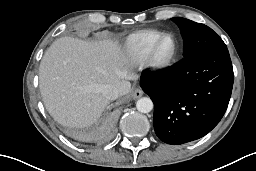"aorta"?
Segmentation results:
<instances>
[{"instance_id": "762f6f07", "label": "aorta", "mask_w": 256, "mask_h": 171, "mask_svg": "<svg viewBox=\"0 0 256 171\" xmlns=\"http://www.w3.org/2000/svg\"><path fill=\"white\" fill-rule=\"evenodd\" d=\"M136 108L141 113H149L153 109V102L148 97H142L136 102Z\"/></svg>"}]
</instances>
